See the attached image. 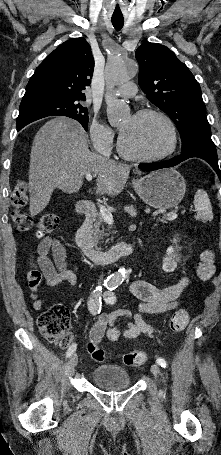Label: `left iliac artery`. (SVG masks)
Instances as JSON below:
<instances>
[{
	"mask_svg": "<svg viewBox=\"0 0 221 455\" xmlns=\"http://www.w3.org/2000/svg\"><path fill=\"white\" fill-rule=\"evenodd\" d=\"M115 288L116 287H114V286H108L107 287L108 291H106L104 293V299H105L106 303L114 304L116 302V296L114 295V292H113V290ZM156 362L163 368L167 367V362L163 358H158L156 360Z\"/></svg>",
	"mask_w": 221,
	"mask_h": 455,
	"instance_id": "1",
	"label": "left iliac artery"
}]
</instances>
